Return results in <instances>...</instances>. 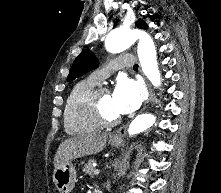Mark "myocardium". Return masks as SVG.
I'll return each mask as SVG.
<instances>
[{
  "mask_svg": "<svg viewBox=\"0 0 221 193\" xmlns=\"http://www.w3.org/2000/svg\"><path fill=\"white\" fill-rule=\"evenodd\" d=\"M109 89L104 85H96L82 99L80 105L83 113L95 123L103 127L115 126L121 121V117L108 116L102 107V95Z\"/></svg>",
  "mask_w": 221,
  "mask_h": 193,
  "instance_id": "myocardium-1",
  "label": "myocardium"
}]
</instances>
